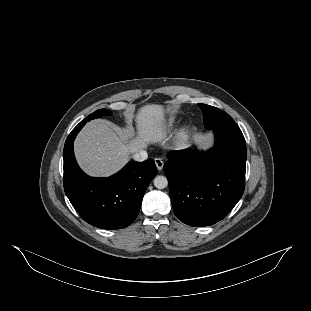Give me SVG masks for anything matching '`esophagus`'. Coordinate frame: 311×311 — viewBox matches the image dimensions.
<instances>
[{
    "instance_id": "obj_1",
    "label": "esophagus",
    "mask_w": 311,
    "mask_h": 311,
    "mask_svg": "<svg viewBox=\"0 0 311 311\" xmlns=\"http://www.w3.org/2000/svg\"><path fill=\"white\" fill-rule=\"evenodd\" d=\"M154 161H155V165H156L157 169L159 171H161L163 169V166H164L163 160L161 158H155Z\"/></svg>"
}]
</instances>
